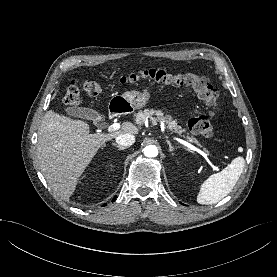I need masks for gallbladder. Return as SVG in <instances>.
Returning <instances> with one entry per match:
<instances>
[{
  "label": "gallbladder",
  "mask_w": 277,
  "mask_h": 277,
  "mask_svg": "<svg viewBox=\"0 0 277 277\" xmlns=\"http://www.w3.org/2000/svg\"><path fill=\"white\" fill-rule=\"evenodd\" d=\"M65 111L71 116L81 119L93 120L94 122L101 119V115L97 111L86 107L72 106L67 107Z\"/></svg>",
  "instance_id": "obj_1"
}]
</instances>
